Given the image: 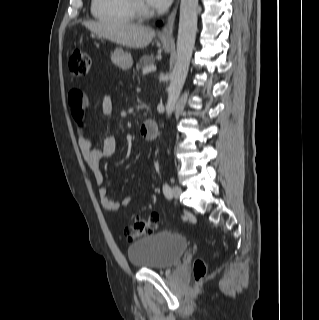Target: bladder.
Returning <instances> with one entry per match:
<instances>
[{
  "label": "bladder",
  "instance_id": "obj_1",
  "mask_svg": "<svg viewBox=\"0 0 319 320\" xmlns=\"http://www.w3.org/2000/svg\"><path fill=\"white\" fill-rule=\"evenodd\" d=\"M187 248L185 239L163 232L133 241L127 248V255L134 268L164 270L179 263Z\"/></svg>",
  "mask_w": 319,
  "mask_h": 320
}]
</instances>
